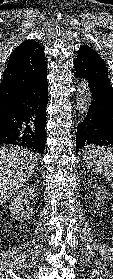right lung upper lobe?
Here are the masks:
<instances>
[{"label":"right lung upper lobe","mask_w":113,"mask_h":279,"mask_svg":"<svg viewBox=\"0 0 113 279\" xmlns=\"http://www.w3.org/2000/svg\"><path fill=\"white\" fill-rule=\"evenodd\" d=\"M46 69L44 49L36 41L26 40L17 46L10 55L0 84V112Z\"/></svg>","instance_id":"obj_1"}]
</instances>
